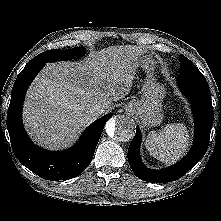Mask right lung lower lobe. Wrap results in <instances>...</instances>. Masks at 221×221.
<instances>
[{
	"instance_id": "1",
	"label": "right lung lower lobe",
	"mask_w": 221,
	"mask_h": 221,
	"mask_svg": "<svg viewBox=\"0 0 221 221\" xmlns=\"http://www.w3.org/2000/svg\"><path fill=\"white\" fill-rule=\"evenodd\" d=\"M44 65L43 62L27 63L18 75L12 88L7 129L13 152L26 168L51 181L71 179L90 164L104 125L112 115L107 114L92 123L69 150L50 152L34 145L22 124V105L30 83Z\"/></svg>"
}]
</instances>
